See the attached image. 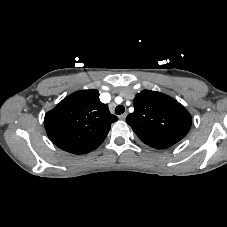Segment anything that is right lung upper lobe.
<instances>
[{
  "mask_svg": "<svg viewBox=\"0 0 227 227\" xmlns=\"http://www.w3.org/2000/svg\"><path fill=\"white\" fill-rule=\"evenodd\" d=\"M118 118L99 99L95 89L77 91L47 112L44 125L60 149L85 154L99 147Z\"/></svg>",
  "mask_w": 227,
  "mask_h": 227,
  "instance_id": "1",
  "label": "right lung upper lobe"
}]
</instances>
